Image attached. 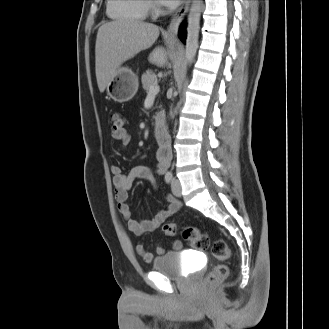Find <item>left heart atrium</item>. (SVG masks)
<instances>
[{
	"instance_id": "obj_1",
	"label": "left heart atrium",
	"mask_w": 329,
	"mask_h": 329,
	"mask_svg": "<svg viewBox=\"0 0 329 329\" xmlns=\"http://www.w3.org/2000/svg\"><path fill=\"white\" fill-rule=\"evenodd\" d=\"M162 3L168 6H176L180 3L181 0H161Z\"/></svg>"
}]
</instances>
